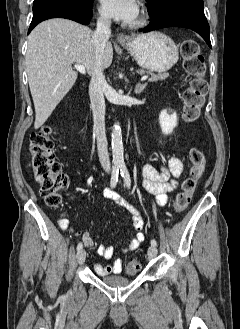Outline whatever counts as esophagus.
Segmentation results:
<instances>
[{
  "instance_id": "1",
  "label": "esophagus",
  "mask_w": 240,
  "mask_h": 329,
  "mask_svg": "<svg viewBox=\"0 0 240 329\" xmlns=\"http://www.w3.org/2000/svg\"><path fill=\"white\" fill-rule=\"evenodd\" d=\"M131 37L129 35L120 34L117 36V41L122 46H127L130 43Z\"/></svg>"
}]
</instances>
